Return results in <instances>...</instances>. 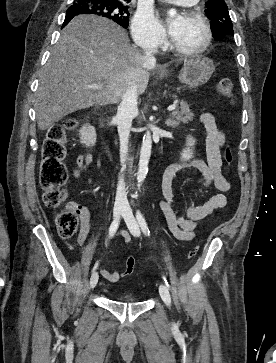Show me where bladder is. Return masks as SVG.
Here are the masks:
<instances>
[{
  "instance_id": "bladder-1",
  "label": "bladder",
  "mask_w": 276,
  "mask_h": 363,
  "mask_svg": "<svg viewBox=\"0 0 276 363\" xmlns=\"http://www.w3.org/2000/svg\"><path fill=\"white\" fill-rule=\"evenodd\" d=\"M121 300H122L123 302H126V303H133V302H137V301H138V299H136V298H134V297H132V296H129V295H125V296H123V297L121 298Z\"/></svg>"
}]
</instances>
